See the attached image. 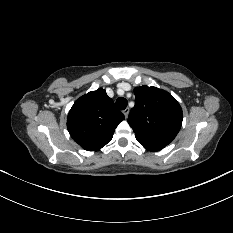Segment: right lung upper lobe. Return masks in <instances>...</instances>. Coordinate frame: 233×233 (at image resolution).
Returning a JSON list of instances; mask_svg holds the SVG:
<instances>
[{
    "instance_id": "cb5924a9",
    "label": "right lung upper lobe",
    "mask_w": 233,
    "mask_h": 233,
    "mask_svg": "<svg viewBox=\"0 0 233 233\" xmlns=\"http://www.w3.org/2000/svg\"><path fill=\"white\" fill-rule=\"evenodd\" d=\"M124 119L114 102L99 88L80 97L67 117L71 137L83 149L97 151L113 137L115 128Z\"/></svg>"
}]
</instances>
